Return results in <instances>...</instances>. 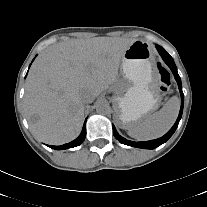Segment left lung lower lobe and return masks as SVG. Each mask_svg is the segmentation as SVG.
I'll use <instances>...</instances> for the list:
<instances>
[{"label":"left lung lower lobe","mask_w":207,"mask_h":207,"mask_svg":"<svg viewBox=\"0 0 207 207\" xmlns=\"http://www.w3.org/2000/svg\"><path fill=\"white\" fill-rule=\"evenodd\" d=\"M159 54L161 55L162 59L164 60V62L169 66V68L171 69L172 73L174 74V77L178 83V87L180 90V94H181V108H180V112L178 115V118L175 122V124L173 125V127L161 138L155 139V140H151V141H146V142H133V141H129L126 140L125 138L121 137L114 125H113V134L115 136V138L122 144L128 145V146H132V147H137V148H144V149H154L157 148L158 146H160L161 144L165 143L175 132L176 128L178 127L179 121L181 119L182 116V112H183V104H184V95L182 92V85H181V79L178 75L177 72V68L176 65L172 59V57L164 50V48H162L161 46H156Z\"/></svg>","instance_id":"left-lung-lower-lobe-1"}]
</instances>
